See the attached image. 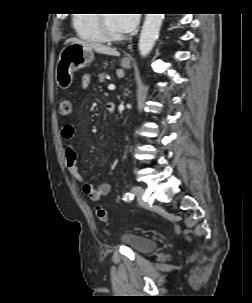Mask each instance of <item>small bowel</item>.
Instances as JSON below:
<instances>
[{"label": "small bowel", "instance_id": "obj_1", "mask_svg": "<svg viewBox=\"0 0 252 303\" xmlns=\"http://www.w3.org/2000/svg\"><path fill=\"white\" fill-rule=\"evenodd\" d=\"M90 83L91 76L89 74H85L82 78L83 88H88ZM74 134L75 129L71 124H65L62 127L61 135L67 142H70L73 139ZM64 160L71 177L77 182H83V177L77 164L76 150L70 143H67L64 148ZM82 191L92 201H98L101 197L110 193L111 185L108 182H103L98 186H94L91 183L83 182Z\"/></svg>", "mask_w": 252, "mask_h": 303}]
</instances>
